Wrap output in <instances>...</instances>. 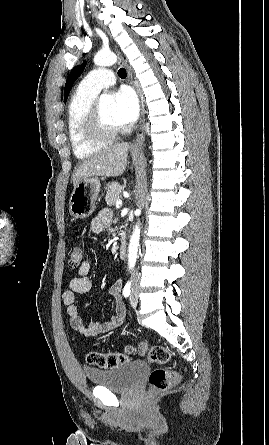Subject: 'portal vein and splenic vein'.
<instances>
[{
    "instance_id": "portal-vein-and-splenic-vein-1",
    "label": "portal vein and splenic vein",
    "mask_w": 269,
    "mask_h": 445,
    "mask_svg": "<svg viewBox=\"0 0 269 445\" xmlns=\"http://www.w3.org/2000/svg\"><path fill=\"white\" fill-rule=\"evenodd\" d=\"M121 206H122V200L118 199V200L116 201V207L119 208V207H121Z\"/></svg>"
}]
</instances>
